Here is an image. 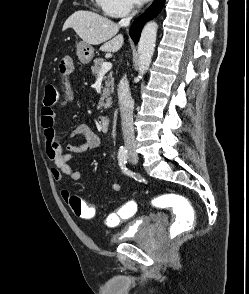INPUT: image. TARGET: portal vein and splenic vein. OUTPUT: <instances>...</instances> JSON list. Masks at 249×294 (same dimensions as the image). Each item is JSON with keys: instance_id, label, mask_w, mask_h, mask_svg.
Masks as SVG:
<instances>
[{"instance_id": "18ae733b", "label": "portal vein and splenic vein", "mask_w": 249, "mask_h": 294, "mask_svg": "<svg viewBox=\"0 0 249 294\" xmlns=\"http://www.w3.org/2000/svg\"><path fill=\"white\" fill-rule=\"evenodd\" d=\"M112 68V63L104 62L100 71V74L106 73Z\"/></svg>"}]
</instances>
